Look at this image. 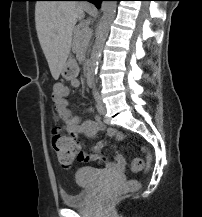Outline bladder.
<instances>
[{
    "instance_id": "obj_1",
    "label": "bladder",
    "mask_w": 202,
    "mask_h": 217,
    "mask_svg": "<svg viewBox=\"0 0 202 217\" xmlns=\"http://www.w3.org/2000/svg\"><path fill=\"white\" fill-rule=\"evenodd\" d=\"M104 171L91 167H82L75 174V182L79 187L78 193L62 194V203L67 206H84L89 203L93 197L94 187L100 178L105 176Z\"/></svg>"
}]
</instances>
